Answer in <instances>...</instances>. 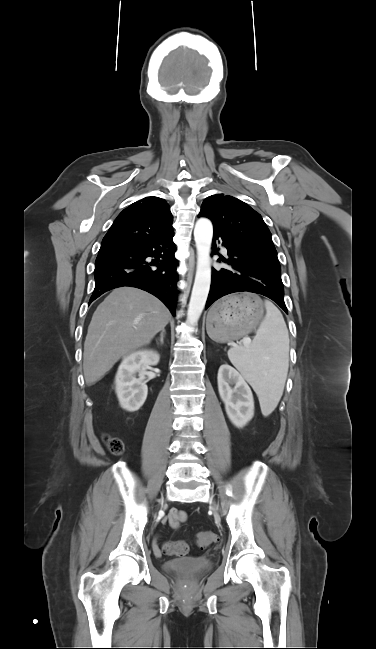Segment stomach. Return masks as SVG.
Masks as SVG:
<instances>
[{"instance_id":"stomach-1","label":"stomach","mask_w":376,"mask_h":649,"mask_svg":"<svg viewBox=\"0 0 376 649\" xmlns=\"http://www.w3.org/2000/svg\"><path fill=\"white\" fill-rule=\"evenodd\" d=\"M264 316L263 302L258 295L241 293L218 301L209 311L207 333L216 342L241 338L255 329Z\"/></svg>"}]
</instances>
